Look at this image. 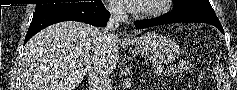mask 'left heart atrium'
Instances as JSON below:
<instances>
[{
	"mask_svg": "<svg viewBox=\"0 0 237 90\" xmlns=\"http://www.w3.org/2000/svg\"><path fill=\"white\" fill-rule=\"evenodd\" d=\"M114 3L123 10H136L140 3H152V0H114Z\"/></svg>",
	"mask_w": 237,
	"mask_h": 90,
	"instance_id": "obj_1",
	"label": "left heart atrium"
}]
</instances>
